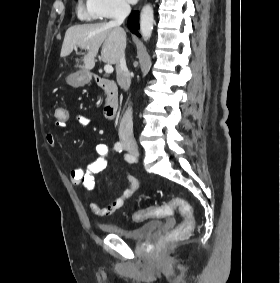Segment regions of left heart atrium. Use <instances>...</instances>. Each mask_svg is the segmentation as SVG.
<instances>
[{
  "label": "left heart atrium",
  "mask_w": 280,
  "mask_h": 283,
  "mask_svg": "<svg viewBox=\"0 0 280 283\" xmlns=\"http://www.w3.org/2000/svg\"><path fill=\"white\" fill-rule=\"evenodd\" d=\"M130 3L134 4L136 3L138 0H128Z\"/></svg>",
  "instance_id": "39dd6f15"
}]
</instances>
